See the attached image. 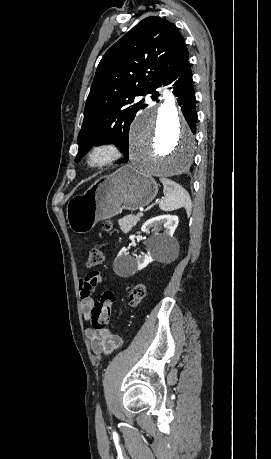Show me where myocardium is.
Instances as JSON below:
<instances>
[{
    "label": "myocardium",
    "mask_w": 271,
    "mask_h": 459,
    "mask_svg": "<svg viewBox=\"0 0 271 459\" xmlns=\"http://www.w3.org/2000/svg\"><path fill=\"white\" fill-rule=\"evenodd\" d=\"M120 143L110 137L100 138L91 143L82 155V165L90 171L116 164L122 158Z\"/></svg>",
    "instance_id": "1"
}]
</instances>
